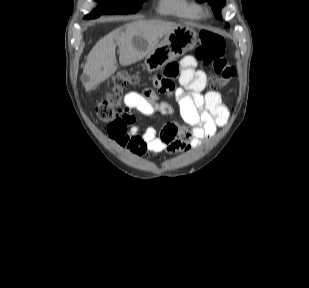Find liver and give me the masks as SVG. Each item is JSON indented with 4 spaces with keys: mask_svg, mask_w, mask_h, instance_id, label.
Segmentation results:
<instances>
[{
    "mask_svg": "<svg viewBox=\"0 0 309 288\" xmlns=\"http://www.w3.org/2000/svg\"><path fill=\"white\" fill-rule=\"evenodd\" d=\"M179 24L163 20H135L119 27L101 38L90 51L83 74L86 91L105 81L118 69L116 46L119 47V63L127 66L136 63L152 53L161 38L173 31ZM136 36H141L147 43L144 50H139L133 43Z\"/></svg>",
    "mask_w": 309,
    "mask_h": 288,
    "instance_id": "obj_1",
    "label": "liver"
}]
</instances>
